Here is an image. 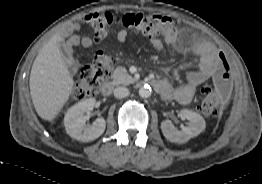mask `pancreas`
<instances>
[{
  "mask_svg": "<svg viewBox=\"0 0 262 184\" xmlns=\"http://www.w3.org/2000/svg\"><path fill=\"white\" fill-rule=\"evenodd\" d=\"M112 78L115 85H129L130 83L135 82V79L128 74L127 70L120 67L114 70Z\"/></svg>",
  "mask_w": 262,
  "mask_h": 184,
  "instance_id": "1",
  "label": "pancreas"
}]
</instances>
